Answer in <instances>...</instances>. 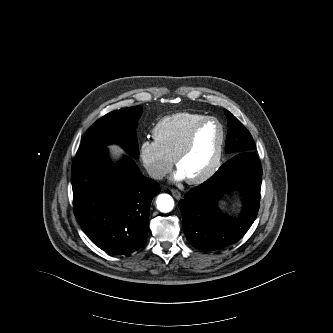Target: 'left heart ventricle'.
<instances>
[{"instance_id": "obj_1", "label": "left heart ventricle", "mask_w": 333, "mask_h": 333, "mask_svg": "<svg viewBox=\"0 0 333 333\" xmlns=\"http://www.w3.org/2000/svg\"><path fill=\"white\" fill-rule=\"evenodd\" d=\"M220 141V130L217 124L209 123L197 134L193 147L180 160L178 169L186 179L199 176L213 162Z\"/></svg>"}]
</instances>
